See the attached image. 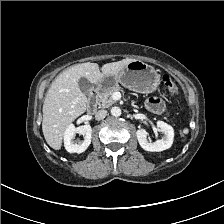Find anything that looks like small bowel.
Returning a JSON list of instances; mask_svg holds the SVG:
<instances>
[{
	"label": "small bowel",
	"mask_w": 224,
	"mask_h": 224,
	"mask_svg": "<svg viewBox=\"0 0 224 224\" xmlns=\"http://www.w3.org/2000/svg\"><path fill=\"white\" fill-rule=\"evenodd\" d=\"M147 107L156 113H161L164 110L160 100L154 98L148 100Z\"/></svg>",
	"instance_id": "1"
}]
</instances>
